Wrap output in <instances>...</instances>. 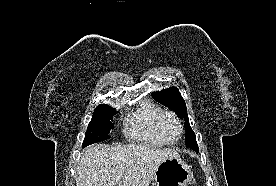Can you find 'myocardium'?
<instances>
[{
  "label": "myocardium",
  "instance_id": "1",
  "mask_svg": "<svg viewBox=\"0 0 276 186\" xmlns=\"http://www.w3.org/2000/svg\"><path fill=\"white\" fill-rule=\"evenodd\" d=\"M165 118H172L178 125L180 132H179V136L176 140L171 141L165 136L163 129H162V122ZM156 131H157V134L159 135V137L166 144H175L181 139L183 132H184V128H183L181 119L178 117V115L176 113H174L173 111H170V110H164L160 113V115L158 116V118L156 120Z\"/></svg>",
  "mask_w": 276,
  "mask_h": 186
}]
</instances>
